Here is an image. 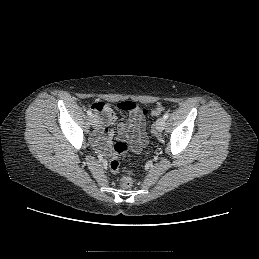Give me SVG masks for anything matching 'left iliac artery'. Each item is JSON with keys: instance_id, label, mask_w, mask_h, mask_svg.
Masks as SVG:
<instances>
[{"instance_id": "44dca946", "label": "left iliac artery", "mask_w": 259, "mask_h": 259, "mask_svg": "<svg viewBox=\"0 0 259 259\" xmlns=\"http://www.w3.org/2000/svg\"><path fill=\"white\" fill-rule=\"evenodd\" d=\"M168 117H169L168 113H165L164 116H163V118H164L165 120L168 119Z\"/></svg>"}]
</instances>
